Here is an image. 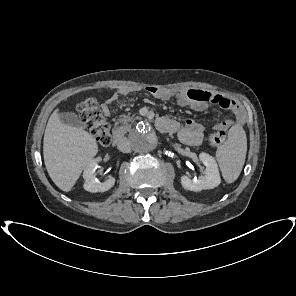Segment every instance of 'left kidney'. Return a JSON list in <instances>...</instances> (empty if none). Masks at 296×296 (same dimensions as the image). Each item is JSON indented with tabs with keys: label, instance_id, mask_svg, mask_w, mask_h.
I'll return each mask as SVG.
<instances>
[{
	"label": "left kidney",
	"instance_id": "left-kidney-1",
	"mask_svg": "<svg viewBox=\"0 0 296 296\" xmlns=\"http://www.w3.org/2000/svg\"><path fill=\"white\" fill-rule=\"evenodd\" d=\"M200 161L206 166L204 176L198 179L191 180L189 177L183 175L181 177V184L184 189L190 191H201L206 189H213L221 183L219 169L215 159L207 153L199 154Z\"/></svg>",
	"mask_w": 296,
	"mask_h": 296
}]
</instances>
